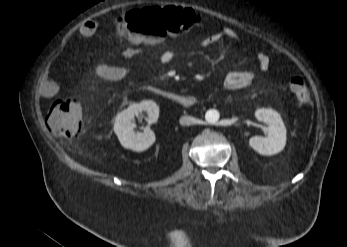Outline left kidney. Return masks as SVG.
<instances>
[{
	"label": "left kidney",
	"instance_id": "5707ae66",
	"mask_svg": "<svg viewBox=\"0 0 347 247\" xmlns=\"http://www.w3.org/2000/svg\"><path fill=\"white\" fill-rule=\"evenodd\" d=\"M258 121L268 125V137L254 136L249 145L259 154L274 155L286 145V127L278 112L272 109H258L255 112Z\"/></svg>",
	"mask_w": 347,
	"mask_h": 247
}]
</instances>
